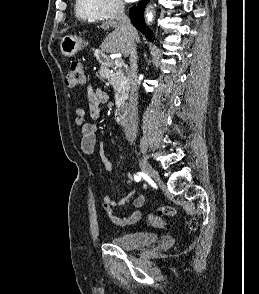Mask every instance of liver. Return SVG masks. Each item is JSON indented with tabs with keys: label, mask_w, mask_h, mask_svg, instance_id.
<instances>
[{
	"label": "liver",
	"mask_w": 259,
	"mask_h": 294,
	"mask_svg": "<svg viewBox=\"0 0 259 294\" xmlns=\"http://www.w3.org/2000/svg\"><path fill=\"white\" fill-rule=\"evenodd\" d=\"M114 30L107 35L104 42L102 43L101 49L106 53H121L124 57H128V45L127 38L124 31H122L117 22L115 21H105L101 24L100 28L107 30L109 28ZM135 42H139V37L137 31L135 30Z\"/></svg>",
	"instance_id": "1"
}]
</instances>
